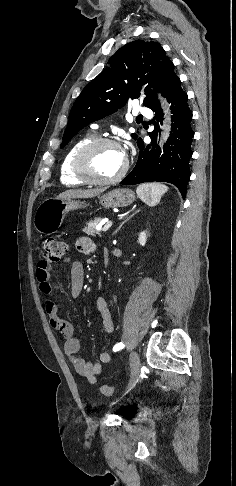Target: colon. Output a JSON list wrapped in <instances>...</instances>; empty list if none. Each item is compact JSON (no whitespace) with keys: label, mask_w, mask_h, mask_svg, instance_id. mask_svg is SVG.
<instances>
[{"label":"colon","mask_w":236,"mask_h":486,"mask_svg":"<svg viewBox=\"0 0 236 486\" xmlns=\"http://www.w3.org/2000/svg\"><path fill=\"white\" fill-rule=\"evenodd\" d=\"M43 247L45 256L53 262L59 261L67 253V243L54 237L46 238L43 242ZM100 391L107 397H111L114 394L113 388L107 385H102Z\"/></svg>","instance_id":"1"}]
</instances>
